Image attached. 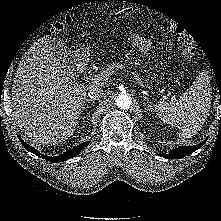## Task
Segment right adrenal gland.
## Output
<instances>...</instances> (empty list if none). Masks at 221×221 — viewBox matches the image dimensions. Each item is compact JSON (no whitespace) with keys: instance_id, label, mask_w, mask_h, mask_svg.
<instances>
[{"instance_id":"right-adrenal-gland-1","label":"right adrenal gland","mask_w":221,"mask_h":221,"mask_svg":"<svg viewBox=\"0 0 221 221\" xmlns=\"http://www.w3.org/2000/svg\"><path fill=\"white\" fill-rule=\"evenodd\" d=\"M86 102H93L94 103V100L93 99H84V101H83V106H82V110H84L85 109V106H86Z\"/></svg>"}]
</instances>
